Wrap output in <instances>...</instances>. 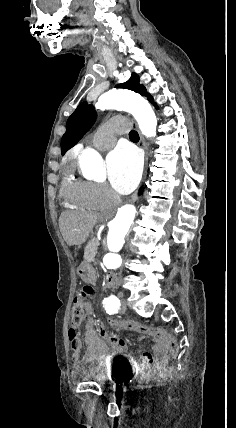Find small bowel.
<instances>
[{"mask_svg":"<svg viewBox=\"0 0 236 428\" xmlns=\"http://www.w3.org/2000/svg\"><path fill=\"white\" fill-rule=\"evenodd\" d=\"M84 341L86 352L84 360L87 362L123 358L125 362L136 370H145L162 366L166 362V353L162 344H155L151 353H145L139 359L128 353L127 343L115 336H109L106 329L97 325L92 310L86 316ZM70 340L72 346V359L74 363L81 361V343L78 338Z\"/></svg>","mask_w":236,"mask_h":428,"instance_id":"obj_1","label":"small bowel"}]
</instances>
